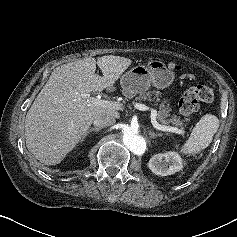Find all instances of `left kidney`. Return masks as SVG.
<instances>
[{"mask_svg":"<svg viewBox=\"0 0 237 237\" xmlns=\"http://www.w3.org/2000/svg\"><path fill=\"white\" fill-rule=\"evenodd\" d=\"M148 166L154 174L160 176L172 175L183 168L181 157L172 151L152 156Z\"/></svg>","mask_w":237,"mask_h":237,"instance_id":"obj_1","label":"left kidney"}]
</instances>
